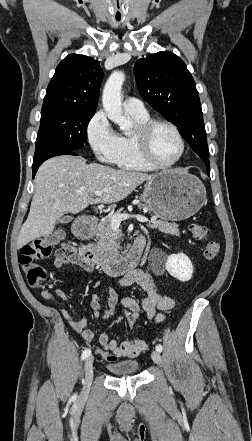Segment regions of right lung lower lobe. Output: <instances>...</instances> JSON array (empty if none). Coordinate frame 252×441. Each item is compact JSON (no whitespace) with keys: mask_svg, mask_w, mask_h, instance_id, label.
<instances>
[{"mask_svg":"<svg viewBox=\"0 0 252 441\" xmlns=\"http://www.w3.org/2000/svg\"><path fill=\"white\" fill-rule=\"evenodd\" d=\"M65 154H68V155H76V153H75L74 151H67V152H64V153H62V154H60V155H65ZM56 156H58V155H56ZM52 157H53V156H52ZM49 158H51V157H49ZM49 158H47V159H49ZM47 159H44V160H42V161H40V162H37V163H33V165H32L33 177L35 176V174H36V172H37L39 166H40L45 160H47Z\"/></svg>","mask_w":252,"mask_h":441,"instance_id":"right-lung-lower-lobe-1","label":"right lung lower lobe"}]
</instances>
